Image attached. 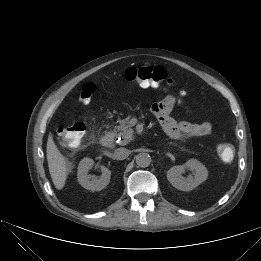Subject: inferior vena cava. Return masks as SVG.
Wrapping results in <instances>:
<instances>
[{
    "mask_svg": "<svg viewBox=\"0 0 261 261\" xmlns=\"http://www.w3.org/2000/svg\"><path fill=\"white\" fill-rule=\"evenodd\" d=\"M130 154V151L126 148H118L114 152V158L117 160H124Z\"/></svg>",
    "mask_w": 261,
    "mask_h": 261,
    "instance_id": "602c4592",
    "label": "inferior vena cava"
}]
</instances>
